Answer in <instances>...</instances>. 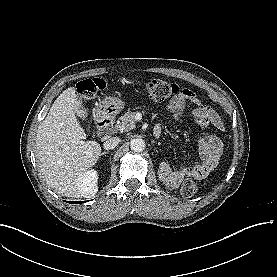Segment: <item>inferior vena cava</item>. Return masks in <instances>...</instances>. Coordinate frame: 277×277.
<instances>
[{"label": "inferior vena cava", "mask_w": 277, "mask_h": 277, "mask_svg": "<svg viewBox=\"0 0 277 277\" xmlns=\"http://www.w3.org/2000/svg\"><path fill=\"white\" fill-rule=\"evenodd\" d=\"M119 142L120 139L118 137H111L104 142L103 147L106 150H112L119 144Z\"/></svg>", "instance_id": "inferior-vena-cava-1"}]
</instances>
